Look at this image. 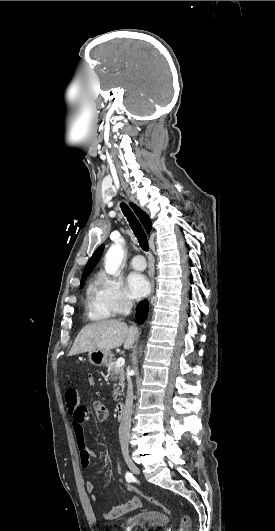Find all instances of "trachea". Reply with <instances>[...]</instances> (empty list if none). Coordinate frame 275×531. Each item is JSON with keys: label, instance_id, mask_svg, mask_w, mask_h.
Listing matches in <instances>:
<instances>
[{"label": "trachea", "instance_id": "trachea-1", "mask_svg": "<svg viewBox=\"0 0 275 531\" xmlns=\"http://www.w3.org/2000/svg\"><path fill=\"white\" fill-rule=\"evenodd\" d=\"M121 207H122V211H123L124 215L126 216L127 220L129 221V224H130V226H131L136 238L138 239V242H139L141 248L144 251L147 252L149 250L148 240H147V236H146L145 231L142 228L140 222L138 221L136 216L133 214L131 209L126 204H121Z\"/></svg>", "mask_w": 275, "mask_h": 531}]
</instances>
